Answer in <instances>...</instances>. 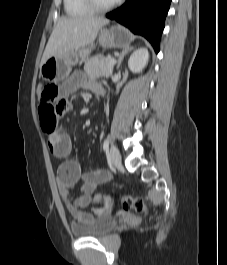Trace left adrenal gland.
<instances>
[{"label":"left adrenal gland","instance_id":"1","mask_svg":"<svg viewBox=\"0 0 227 265\" xmlns=\"http://www.w3.org/2000/svg\"><path fill=\"white\" fill-rule=\"evenodd\" d=\"M132 50H133V47H131V48H126V49H123V50L121 51V53H120V55H119V57H118L117 69L120 68L124 56H125L128 52H130V51H132Z\"/></svg>","mask_w":227,"mask_h":265}]
</instances>
